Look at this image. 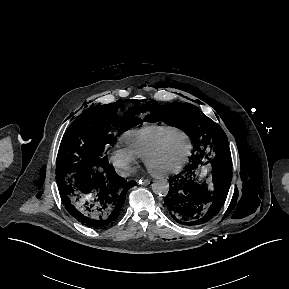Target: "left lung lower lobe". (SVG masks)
<instances>
[{"label":"left lung lower lobe","instance_id":"1","mask_svg":"<svg viewBox=\"0 0 289 289\" xmlns=\"http://www.w3.org/2000/svg\"><path fill=\"white\" fill-rule=\"evenodd\" d=\"M232 180L231 166L192 159L186 169L170 178L166 210L178 223L194 226L206 223L223 206Z\"/></svg>","mask_w":289,"mask_h":289}]
</instances>
